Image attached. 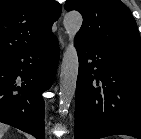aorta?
Here are the masks:
<instances>
[{"mask_svg": "<svg viewBox=\"0 0 141 139\" xmlns=\"http://www.w3.org/2000/svg\"><path fill=\"white\" fill-rule=\"evenodd\" d=\"M82 22L81 14L76 11L66 13L63 20L69 44L64 52L61 64L59 92V112L61 117L66 115L76 91L79 61L74 39L82 26Z\"/></svg>", "mask_w": 141, "mask_h": 139, "instance_id": "762f6f07", "label": "aorta"}]
</instances>
